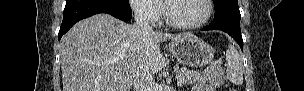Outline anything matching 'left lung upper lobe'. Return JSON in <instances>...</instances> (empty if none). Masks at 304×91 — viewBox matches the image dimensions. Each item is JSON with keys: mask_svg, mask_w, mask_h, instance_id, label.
Segmentation results:
<instances>
[{"mask_svg": "<svg viewBox=\"0 0 304 91\" xmlns=\"http://www.w3.org/2000/svg\"><path fill=\"white\" fill-rule=\"evenodd\" d=\"M213 3L215 7V18L232 8L238 7V0H213Z\"/></svg>", "mask_w": 304, "mask_h": 91, "instance_id": "obj_1", "label": "left lung upper lobe"}]
</instances>
